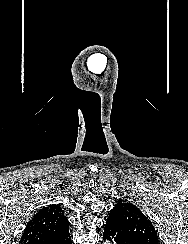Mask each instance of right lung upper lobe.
Returning <instances> with one entry per match:
<instances>
[{
	"mask_svg": "<svg viewBox=\"0 0 188 244\" xmlns=\"http://www.w3.org/2000/svg\"><path fill=\"white\" fill-rule=\"evenodd\" d=\"M69 227L64 211L58 205H50L40 209L27 223L19 244L34 242L55 236Z\"/></svg>",
	"mask_w": 188,
	"mask_h": 244,
	"instance_id": "right-lung-upper-lobe-1",
	"label": "right lung upper lobe"
}]
</instances>
